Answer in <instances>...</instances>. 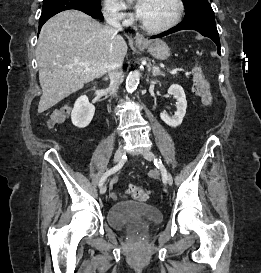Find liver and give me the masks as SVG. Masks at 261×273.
Instances as JSON below:
<instances>
[{"mask_svg":"<svg viewBox=\"0 0 261 273\" xmlns=\"http://www.w3.org/2000/svg\"><path fill=\"white\" fill-rule=\"evenodd\" d=\"M127 44L114 28L104 26L78 10H66L42 27L36 58L42 95V113L84 84L108 71L114 59L124 60ZM76 62L90 64L89 71Z\"/></svg>","mask_w":261,"mask_h":273,"instance_id":"6515ba94","label":"liver"}]
</instances>
